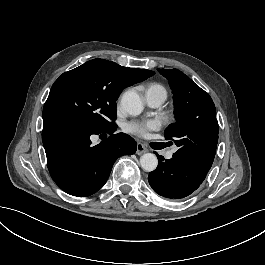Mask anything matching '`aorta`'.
Listing matches in <instances>:
<instances>
[{
    "mask_svg": "<svg viewBox=\"0 0 265 265\" xmlns=\"http://www.w3.org/2000/svg\"><path fill=\"white\" fill-rule=\"evenodd\" d=\"M122 108L130 115H140L144 109L143 102L139 95L133 91H127L121 99ZM140 164L144 171L152 172L158 166V159L155 154L145 153L140 157Z\"/></svg>",
    "mask_w": 265,
    "mask_h": 265,
    "instance_id": "1",
    "label": "aorta"
}]
</instances>
